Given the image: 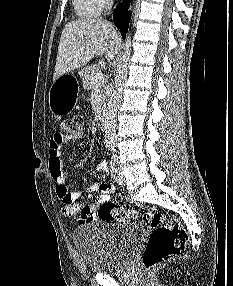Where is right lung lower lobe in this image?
Returning <instances> with one entry per match:
<instances>
[{"instance_id":"right-lung-lower-lobe-1","label":"right lung lower lobe","mask_w":233,"mask_h":286,"mask_svg":"<svg viewBox=\"0 0 233 286\" xmlns=\"http://www.w3.org/2000/svg\"><path fill=\"white\" fill-rule=\"evenodd\" d=\"M130 2L131 0H123L119 7L113 13L114 24L120 28L123 38H125L126 36L131 16L130 12H128Z\"/></svg>"}]
</instances>
